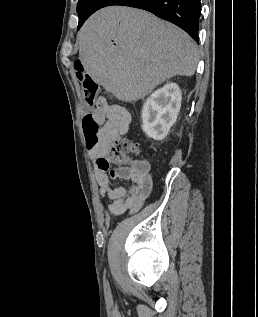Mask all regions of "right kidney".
<instances>
[{
  "label": "right kidney",
  "instance_id": "1",
  "mask_svg": "<svg viewBox=\"0 0 258 317\" xmlns=\"http://www.w3.org/2000/svg\"><path fill=\"white\" fill-rule=\"evenodd\" d=\"M181 106V90L176 82H167L148 96L142 108V128L155 140H163L174 124Z\"/></svg>",
  "mask_w": 258,
  "mask_h": 317
}]
</instances>
